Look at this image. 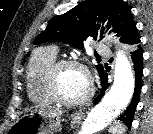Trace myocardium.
Returning <instances> with one entry per match:
<instances>
[{
    "label": "myocardium",
    "mask_w": 153,
    "mask_h": 134,
    "mask_svg": "<svg viewBox=\"0 0 153 134\" xmlns=\"http://www.w3.org/2000/svg\"><path fill=\"white\" fill-rule=\"evenodd\" d=\"M67 67H75L82 70L88 79V92L79 100H68L60 93L58 85L59 74L64 68ZM45 83L47 91L52 99L55 102L68 107H78L86 104L91 99L94 92L93 79L89 68L84 63L74 59H58L54 61L46 71Z\"/></svg>",
    "instance_id": "myocardium-1"
}]
</instances>
